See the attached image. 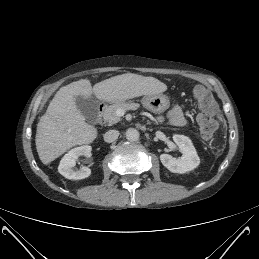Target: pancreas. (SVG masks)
Returning a JSON list of instances; mask_svg holds the SVG:
<instances>
[{
	"instance_id": "1",
	"label": "pancreas",
	"mask_w": 259,
	"mask_h": 259,
	"mask_svg": "<svg viewBox=\"0 0 259 259\" xmlns=\"http://www.w3.org/2000/svg\"><path fill=\"white\" fill-rule=\"evenodd\" d=\"M140 107L138 103H118L109 106L103 113V120L109 125L118 123L121 118L117 115L118 110H136Z\"/></svg>"
}]
</instances>
